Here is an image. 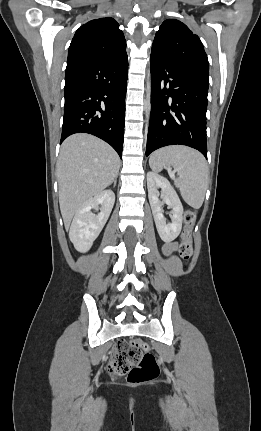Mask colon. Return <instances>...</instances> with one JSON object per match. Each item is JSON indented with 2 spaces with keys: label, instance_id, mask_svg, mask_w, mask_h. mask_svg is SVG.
I'll return each instance as SVG.
<instances>
[{
  "label": "colon",
  "instance_id": "1",
  "mask_svg": "<svg viewBox=\"0 0 261 431\" xmlns=\"http://www.w3.org/2000/svg\"><path fill=\"white\" fill-rule=\"evenodd\" d=\"M185 228L179 246V255L186 264L193 256V230L197 219L194 210L185 212ZM147 345L137 340L119 341L114 348L113 357L108 363L112 375L127 374L130 384L140 385L155 380L159 375V366L155 356L147 352Z\"/></svg>",
  "mask_w": 261,
  "mask_h": 431
}]
</instances>
